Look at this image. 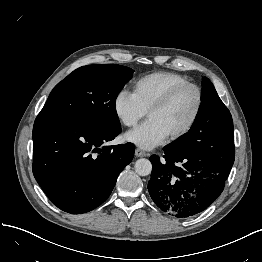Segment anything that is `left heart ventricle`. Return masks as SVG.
Returning a JSON list of instances; mask_svg holds the SVG:
<instances>
[{
	"label": "left heart ventricle",
	"instance_id": "b2bd125f",
	"mask_svg": "<svg viewBox=\"0 0 262 262\" xmlns=\"http://www.w3.org/2000/svg\"><path fill=\"white\" fill-rule=\"evenodd\" d=\"M196 107V94L187 89L178 94L165 108L152 112L148 117L156 121L169 136L183 128Z\"/></svg>",
	"mask_w": 262,
	"mask_h": 262
}]
</instances>
